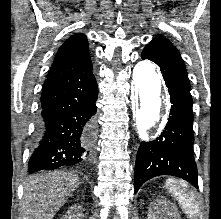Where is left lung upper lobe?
Here are the masks:
<instances>
[{
    "label": "left lung upper lobe",
    "instance_id": "obj_1",
    "mask_svg": "<svg viewBox=\"0 0 221 219\" xmlns=\"http://www.w3.org/2000/svg\"><path fill=\"white\" fill-rule=\"evenodd\" d=\"M147 46L157 49V50H163L167 51L171 54H175L178 56L179 59L182 60L180 57L179 51L176 49V47L167 39L164 37H156L154 38Z\"/></svg>",
    "mask_w": 221,
    "mask_h": 219
}]
</instances>
